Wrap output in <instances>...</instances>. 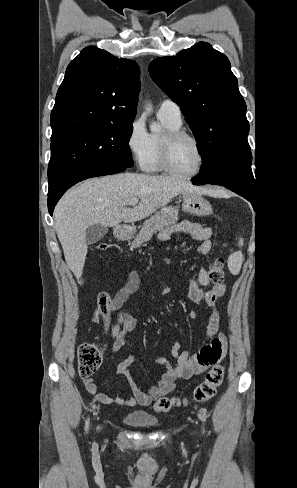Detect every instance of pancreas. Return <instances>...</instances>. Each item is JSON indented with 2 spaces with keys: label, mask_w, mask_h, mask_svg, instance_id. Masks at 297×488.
I'll return each mask as SVG.
<instances>
[{
  "label": "pancreas",
  "mask_w": 297,
  "mask_h": 488,
  "mask_svg": "<svg viewBox=\"0 0 297 488\" xmlns=\"http://www.w3.org/2000/svg\"><path fill=\"white\" fill-rule=\"evenodd\" d=\"M177 221L178 209L176 207L167 206L162 208L154 216L145 220L139 234L132 242V246L134 248L140 247L144 242L149 241L157 231L165 226L175 224Z\"/></svg>",
  "instance_id": "1"
}]
</instances>
